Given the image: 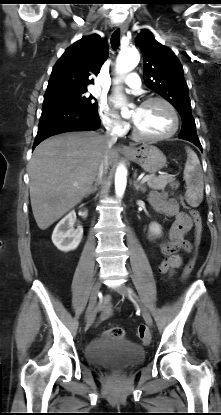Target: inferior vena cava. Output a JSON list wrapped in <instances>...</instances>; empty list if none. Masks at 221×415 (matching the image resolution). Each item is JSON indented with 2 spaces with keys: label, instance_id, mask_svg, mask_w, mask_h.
Segmentation results:
<instances>
[{
  "label": "inferior vena cava",
  "instance_id": "obj_1",
  "mask_svg": "<svg viewBox=\"0 0 221 415\" xmlns=\"http://www.w3.org/2000/svg\"><path fill=\"white\" fill-rule=\"evenodd\" d=\"M104 139H105V154H106L107 150L110 149L116 143L117 135L112 132L111 128H108L104 135ZM107 169H108V160H107V156L105 155L98 169V175L96 179L98 182L101 181L104 174L107 173Z\"/></svg>",
  "mask_w": 221,
  "mask_h": 415
}]
</instances>
